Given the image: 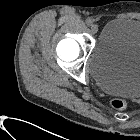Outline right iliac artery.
<instances>
[{
    "label": "right iliac artery",
    "instance_id": "right-iliac-artery-1",
    "mask_svg": "<svg viewBox=\"0 0 140 140\" xmlns=\"http://www.w3.org/2000/svg\"><path fill=\"white\" fill-rule=\"evenodd\" d=\"M86 24H87L88 26H91V25L93 24V21H92L91 19H87V20H86Z\"/></svg>",
    "mask_w": 140,
    "mask_h": 140
}]
</instances>
